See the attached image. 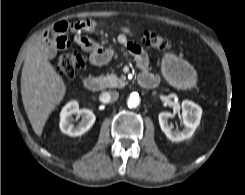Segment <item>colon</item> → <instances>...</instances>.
I'll return each instance as SVG.
<instances>
[{
	"instance_id": "1",
	"label": "colon",
	"mask_w": 245,
	"mask_h": 195,
	"mask_svg": "<svg viewBox=\"0 0 245 195\" xmlns=\"http://www.w3.org/2000/svg\"><path fill=\"white\" fill-rule=\"evenodd\" d=\"M143 45L154 50H168L169 42L154 31H145L141 37ZM56 72L66 78L74 79L86 66V59L78 52L60 55L55 62Z\"/></svg>"
}]
</instances>
